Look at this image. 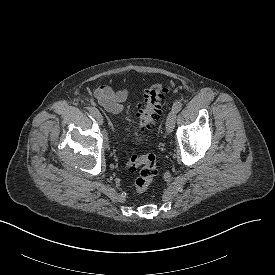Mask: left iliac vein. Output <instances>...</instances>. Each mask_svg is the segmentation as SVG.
<instances>
[{
    "instance_id": "obj_1",
    "label": "left iliac vein",
    "mask_w": 275,
    "mask_h": 275,
    "mask_svg": "<svg viewBox=\"0 0 275 275\" xmlns=\"http://www.w3.org/2000/svg\"><path fill=\"white\" fill-rule=\"evenodd\" d=\"M175 122H176V112L171 111L166 119V130L168 133H171L175 127Z\"/></svg>"
}]
</instances>
